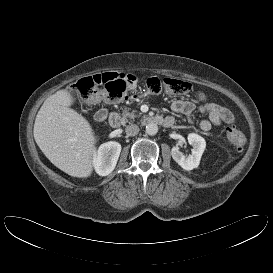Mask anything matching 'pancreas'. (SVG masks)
<instances>
[{
	"label": "pancreas",
	"instance_id": "pancreas-1",
	"mask_svg": "<svg viewBox=\"0 0 273 273\" xmlns=\"http://www.w3.org/2000/svg\"><path fill=\"white\" fill-rule=\"evenodd\" d=\"M137 115H135L133 112H127V111H124L123 114H122V120L125 122V121H132L134 118H136Z\"/></svg>",
	"mask_w": 273,
	"mask_h": 273
}]
</instances>
